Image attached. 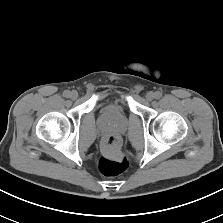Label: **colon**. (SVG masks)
<instances>
[{
    "label": "colon",
    "mask_w": 223,
    "mask_h": 223,
    "mask_svg": "<svg viewBox=\"0 0 223 223\" xmlns=\"http://www.w3.org/2000/svg\"><path fill=\"white\" fill-rule=\"evenodd\" d=\"M103 155L98 162V169L103 176L113 177L123 173L129 165L128 158L121 153L120 140L114 134L104 137Z\"/></svg>",
    "instance_id": "obj_1"
}]
</instances>
